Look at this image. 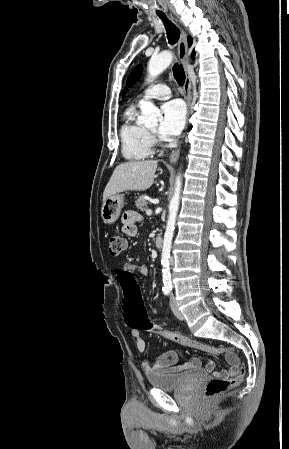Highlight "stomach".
I'll list each match as a JSON object with an SVG mask.
<instances>
[{"instance_id":"obj_1","label":"stomach","mask_w":289,"mask_h":449,"mask_svg":"<svg viewBox=\"0 0 289 449\" xmlns=\"http://www.w3.org/2000/svg\"><path fill=\"white\" fill-rule=\"evenodd\" d=\"M124 204V197L122 194H114L103 202L101 207V216L106 224L114 223L120 216L121 209Z\"/></svg>"}]
</instances>
